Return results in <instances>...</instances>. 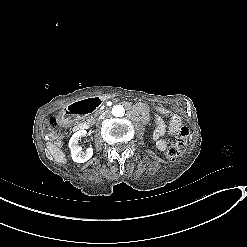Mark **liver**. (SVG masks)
I'll list each match as a JSON object with an SVG mask.
<instances>
[{"instance_id": "1", "label": "liver", "mask_w": 247, "mask_h": 247, "mask_svg": "<svg viewBox=\"0 0 247 247\" xmlns=\"http://www.w3.org/2000/svg\"><path fill=\"white\" fill-rule=\"evenodd\" d=\"M46 149L48 150L52 159L63 166L68 164V159L66 157V153L54 142L47 141L45 143Z\"/></svg>"}]
</instances>
